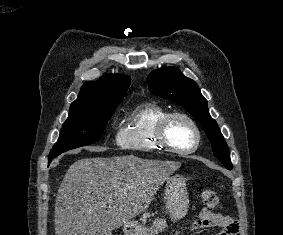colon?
Listing matches in <instances>:
<instances>
[{"label":"colon","instance_id":"1","mask_svg":"<svg viewBox=\"0 0 283 235\" xmlns=\"http://www.w3.org/2000/svg\"><path fill=\"white\" fill-rule=\"evenodd\" d=\"M201 198L204 204L209 208H218L219 200L216 193L210 188H204L201 191Z\"/></svg>","mask_w":283,"mask_h":235}]
</instances>
